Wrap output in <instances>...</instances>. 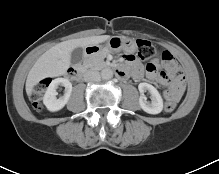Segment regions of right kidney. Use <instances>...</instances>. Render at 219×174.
<instances>
[{
	"label": "right kidney",
	"instance_id": "ca27d5eb",
	"mask_svg": "<svg viewBox=\"0 0 219 174\" xmlns=\"http://www.w3.org/2000/svg\"><path fill=\"white\" fill-rule=\"evenodd\" d=\"M59 85H62L65 87V93L60 98H57V91ZM72 92V84L69 82L66 78H56L52 80L50 85L48 86L44 97H43V103L46 106V108L51 111L55 112L58 110H61L68 102Z\"/></svg>",
	"mask_w": 219,
	"mask_h": 174
}]
</instances>
